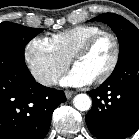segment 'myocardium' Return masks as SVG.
Listing matches in <instances>:
<instances>
[{
    "instance_id": "myocardium-1",
    "label": "myocardium",
    "mask_w": 139,
    "mask_h": 139,
    "mask_svg": "<svg viewBox=\"0 0 139 139\" xmlns=\"http://www.w3.org/2000/svg\"><path fill=\"white\" fill-rule=\"evenodd\" d=\"M104 37H108L112 40L113 46H114V53H113L112 60L109 64V66L107 67V69L103 72V74L100 77H98L97 79L94 80V82L97 84H101V83H104L105 81H107L113 75V73L115 72V70L119 64L120 55H121V47H120V42H119L117 36L110 31L103 30V31L93 35L88 40H86L76 50V52L74 53V55L71 58L72 65L75 66L76 62L81 57L86 55L95 46V44Z\"/></svg>"
}]
</instances>
